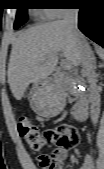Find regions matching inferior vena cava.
<instances>
[{"instance_id": "602c4592", "label": "inferior vena cava", "mask_w": 104, "mask_h": 169, "mask_svg": "<svg viewBox=\"0 0 104 169\" xmlns=\"http://www.w3.org/2000/svg\"><path fill=\"white\" fill-rule=\"evenodd\" d=\"M78 13L79 9H66L64 12L63 23L67 26L79 45L82 75L87 78L89 83V99L91 103L90 116L93 124L96 125L100 115L99 87L97 86L96 72L93 65L94 60L92 50L78 29Z\"/></svg>"}]
</instances>
